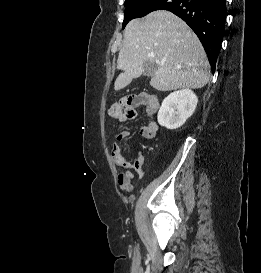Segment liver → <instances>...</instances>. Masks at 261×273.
I'll return each instance as SVG.
<instances>
[{"label":"liver","mask_w":261,"mask_h":273,"mask_svg":"<svg viewBox=\"0 0 261 273\" xmlns=\"http://www.w3.org/2000/svg\"><path fill=\"white\" fill-rule=\"evenodd\" d=\"M146 62L157 64L150 85L158 91L199 89L210 78L200 40L182 19L166 10L151 12L126 26L117 60V68L123 72L115 81V91L140 77Z\"/></svg>","instance_id":"6515ba94"}]
</instances>
